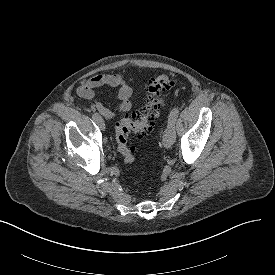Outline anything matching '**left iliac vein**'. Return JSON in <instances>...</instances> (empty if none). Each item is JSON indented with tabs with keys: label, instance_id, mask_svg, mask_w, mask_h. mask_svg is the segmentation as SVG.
I'll use <instances>...</instances> for the list:
<instances>
[{
	"label": "left iliac vein",
	"instance_id": "obj_1",
	"mask_svg": "<svg viewBox=\"0 0 275 275\" xmlns=\"http://www.w3.org/2000/svg\"><path fill=\"white\" fill-rule=\"evenodd\" d=\"M175 142V127L174 124L168 123L164 135H163V146L165 148H170Z\"/></svg>",
	"mask_w": 275,
	"mask_h": 275
}]
</instances>
